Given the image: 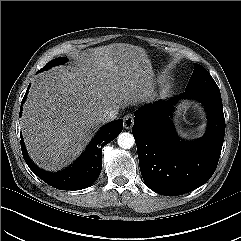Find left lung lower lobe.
Masks as SVG:
<instances>
[{"mask_svg":"<svg viewBox=\"0 0 241 241\" xmlns=\"http://www.w3.org/2000/svg\"><path fill=\"white\" fill-rule=\"evenodd\" d=\"M181 96L198 99L208 112L207 133L197 141H180L173 130L170 115L177 99L148 104L134 113L132 131L143 180L165 196L188 193L211 178L225 135L220 91L196 89Z\"/></svg>","mask_w":241,"mask_h":241,"instance_id":"0a47b994","label":"left lung lower lobe"}]
</instances>
